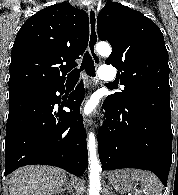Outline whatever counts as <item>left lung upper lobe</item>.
Instances as JSON below:
<instances>
[{"label": "left lung upper lobe", "instance_id": "1", "mask_svg": "<svg viewBox=\"0 0 178 195\" xmlns=\"http://www.w3.org/2000/svg\"><path fill=\"white\" fill-rule=\"evenodd\" d=\"M98 37L112 53L105 61L118 69L122 92L109 95L116 108L143 104L171 112L168 51L159 27L141 12L107 2L97 17Z\"/></svg>", "mask_w": 178, "mask_h": 195}]
</instances>
